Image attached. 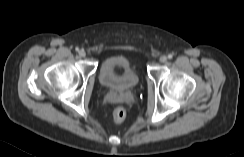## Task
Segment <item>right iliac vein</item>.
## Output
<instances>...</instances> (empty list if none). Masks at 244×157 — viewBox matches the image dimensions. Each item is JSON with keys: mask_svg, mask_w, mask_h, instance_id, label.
I'll return each instance as SVG.
<instances>
[{"mask_svg": "<svg viewBox=\"0 0 244 157\" xmlns=\"http://www.w3.org/2000/svg\"><path fill=\"white\" fill-rule=\"evenodd\" d=\"M85 55H86V53H85L84 50H80V51H79V56H80V57H85Z\"/></svg>", "mask_w": 244, "mask_h": 157, "instance_id": "1", "label": "right iliac vein"}]
</instances>
